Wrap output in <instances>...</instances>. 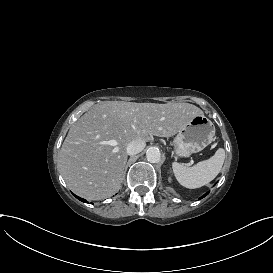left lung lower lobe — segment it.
<instances>
[{
	"mask_svg": "<svg viewBox=\"0 0 273 273\" xmlns=\"http://www.w3.org/2000/svg\"><path fill=\"white\" fill-rule=\"evenodd\" d=\"M206 195H208V193H206L203 197H205Z\"/></svg>",
	"mask_w": 273,
	"mask_h": 273,
	"instance_id": "left-lung-lower-lobe-1",
	"label": "left lung lower lobe"
}]
</instances>
